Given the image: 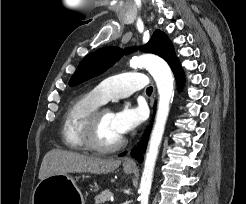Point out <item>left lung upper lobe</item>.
Instances as JSON below:
<instances>
[{
	"label": "left lung upper lobe",
	"mask_w": 246,
	"mask_h": 204,
	"mask_svg": "<svg viewBox=\"0 0 246 204\" xmlns=\"http://www.w3.org/2000/svg\"><path fill=\"white\" fill-rule=\"evenodd\" d=\"M142 51L162 57L170 67L177 60L173 46L167 35L156 30L150 41L142 47ZM130 52L129 49L124 53ZM123 51L118 47L108 46L87 55L78 65L72 75L69 86L78 85L94 76L103 73L122 56Z\"/></svg>",
	"instance_id": "obj_1"
}]
</instances>
